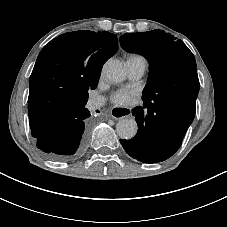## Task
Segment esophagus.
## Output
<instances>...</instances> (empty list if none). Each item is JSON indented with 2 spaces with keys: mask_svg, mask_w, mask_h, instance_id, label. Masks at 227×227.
Wrapping results in <instances>:
<instances>
[{
  "mask_svg": "<svg viewBox=\"0 0 227 227\" xmlns=\"http://www.w3.org/2000/svg\"><path fill=\"white\" fill-rule=\"evenodd\" d=\"M133 114V111L130 109V108H115L112 112H111V115L114 117V118H118L120 116V118H123V117H130L131 115ZM118 118V119H120Z\"/></svg>",
  "mask_w": 227,
  "mask_h": 227,
  "instance_id": "esophagus-1",
  "label": "esophagus"
}]
</instances>
